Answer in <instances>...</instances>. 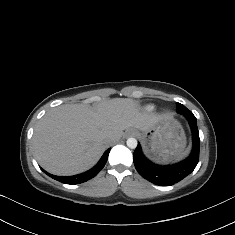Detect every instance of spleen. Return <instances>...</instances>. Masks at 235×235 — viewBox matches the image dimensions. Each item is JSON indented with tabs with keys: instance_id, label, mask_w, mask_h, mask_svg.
<instances>
[{
	"instance_id": "3e777b00",
	"label": "spleen",
	"mask_w": 235,
	"mask_h": 235,
	"mask_svg": "<svg viewBox=\"0 0 235 235\" xmlns=\"http://www.w3.org/2000/svg\"><path fill=\"white\" fill-rule=\"evenodd\" d=\"M185 153H182V155L180 157H182Z\"/></svg>"
}]
</instances>
